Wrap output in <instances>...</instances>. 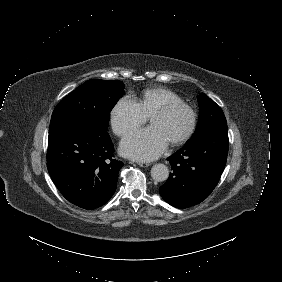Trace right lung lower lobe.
<instances>
[{
  "instance_id": "right-lung-lower-lobe-1",
  "label": "right lung lower lobe",
  "mask_w": 282,
  "mask_h": 282,
  "mask_svg": "<svg viewBox=\"0 0 282 282\" xmlns=\"http://www.w3.org/2000/svg\"><path fill=\"white\" fill-rule=\"evenodd\" d=\"M108 133L76 122L49 132L47 168L61 194L88 210L98 208L113 196L124 165L114 159Z\"/></svg>"
}]
</instances>
